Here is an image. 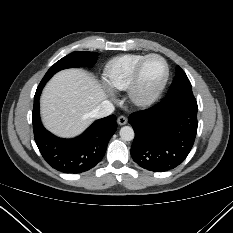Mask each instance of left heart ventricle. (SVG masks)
Returning a JSON list of instances; mask_svg holds the SVG:
<instances>
[{
  "label": "left heart ventricle",
  "mask_w": 233,
  "mask_h": 233,
  "mask_svg": "<svg viewBox=\"0 0 233 233\" xmlns=\"http://www.w3.org/2000/svg\"><path fill=\"white\" fill-rule=\"evenodd\" d=\"M165 66L158 58H151L145 64L141 75V86L145 91L155 88L164 77Z\"/></svg>",
  "instance_id": "obj_1"
}]
</instances>
